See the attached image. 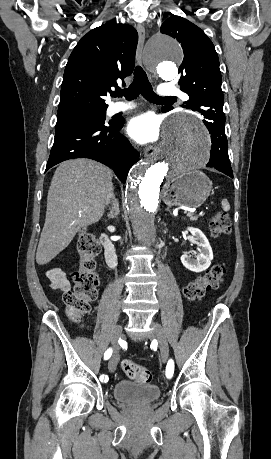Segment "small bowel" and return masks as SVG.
<instances>
[{
    "label": "small bowel",
    "mask_w": 271,
    "mask_h": 459,
    "mask_svg": "<svg viewBox=\"0 0 271 459\" xmlns=\"http://www.w3.org/2000/svg\"><path fill=\"white\" fill-rule=\"evenodd\" d=\"M47 278L51 282L53 288L63 292L69 291L71 282L66 273L60 268H52L46 273Z\"/></svg>",
    "instance_id": "small-bowel-1"
}]
</instances>
